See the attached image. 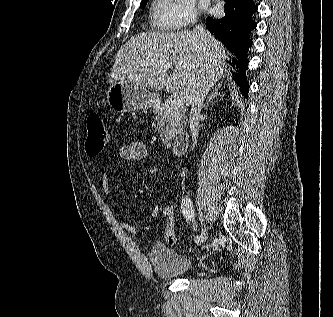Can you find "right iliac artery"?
Listing matches in <instances>:
<instances>
[{"label": "right iliac artery", "instance_id": "right-iliac-artery-1", "mask_svg": "<svg viewBox=\"0 0 333 317\" xmlns=\"http://www.w3.org/2000/svg\"><path fill=\"white\" fill-rule=\"evenodd\" d=\"M181 209H182V213H183L184 217L187 220H193L194 219V209H193V206H192V202H191L190 198H188L187 196L182 199ZM195 240H196V242L199 241L200 237L196 236Z\"/></svg>", "mask_w": 333, "mask_h": 317}]
</instances>
